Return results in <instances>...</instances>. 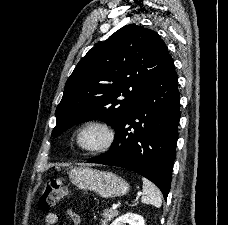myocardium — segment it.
<instances>
[{"mask_svg":"<svg viewBox=\"0 0 228 225\" xmlns=\"http://www.w3.org/2000/svg\"><path fill=\"white\" fill-rule=\"evenodd\" d=\"M98 131L102 135V141L97 144L86 143L83 138L89 131ZM117 135L115 129L106 121L91 119L81 123L70 136L71 147L79 153L100 155L109 152L116 144Z\"/></svg>","mask_w":228,"mask_h":225,"instance_id":"myocardium-1","label":"myocardium"}]
</instances>
